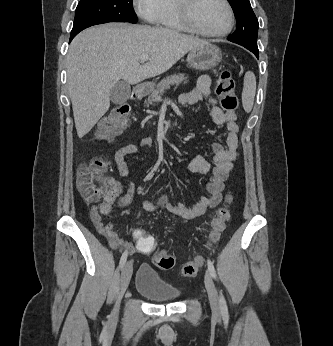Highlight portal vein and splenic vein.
<instances>
[{"label":"portal vein and splenic vein","mask_w":333,"mask_h":346,"mask_svg":"<svg viewBox=\"0 0 333 346\" xmlns=\"http://www.w3.org/2000/svg\"><path fill=\"white\" fill-rule=\"evenodd\" d=\"M149 60V56L147 55H144L141 57V62H145V61H148Z\"/></svg>","instance_id":"18ae733b"}]
</instances>
